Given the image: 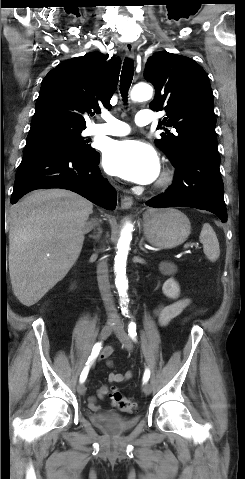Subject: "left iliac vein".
Listing matches in <instances>:
<instances>
[{
  "label": "left iliac vein",
  "mask_w": 245,
  "mask_h": 479,
  "mask_svg": "<svg viewBox=\"0 0 245 479\" xmlns=\"http://www.w3.org/2000/svg\"><path fill=\"white\" fill-rule=\"evenodd\" d=\"M114 333L116 334L117 338L120 340V342L123 344V346L127 350H132V342L121 322H118L116 326L114 327ZM152 386L150 383H145L143 386V392L148 395L151 393Z\"/></svg>",
  "instance_id": "4c4485c4"
}]
</instances>
